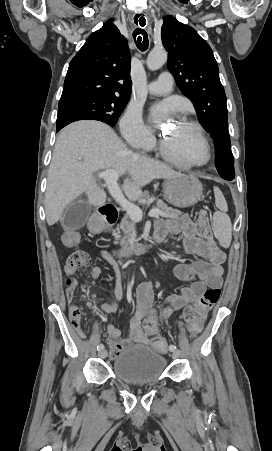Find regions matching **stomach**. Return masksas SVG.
Instances as JSON below:
<instances>
[{"instance_id":"1","label":"stomach","mask_w":272,"mask_h":451,"mask_svg":"<svg viewBox=\"0 0 272 451\" xmlns=\"http://www.w3.org/2000/svg\"><path fill=\"white\" fill-rule=\"evenodd\" d=\"M164 200L177 208H188L200 202L203 188L198 178L180 176V178H167L164 184Z\"/></svg>"}]
</instances>
